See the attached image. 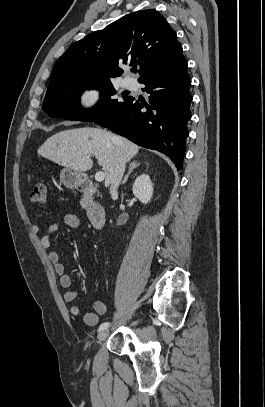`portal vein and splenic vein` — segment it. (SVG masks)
I'll use <instances>...</instances> for the list:
<instances>
[{
  "label": "portal vein and splenic vein",
  "mask_w": 265,
  "mask_h": 407,
  "mask_svg": "<svg viewBox=\"0 0 265 407\" xmlns=\"http://www.w3.org/2000/svg\"><path fill=\"white\" fill-rule=\"evenodd\" d=\"M105 174L103 171H99L95 174V180L97 182H102L104 180Z\"/></svg>",
  "instance_id": "portal-vein-and-splenic-vein-1"
}]
</instances>
